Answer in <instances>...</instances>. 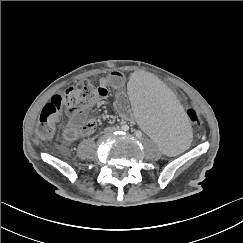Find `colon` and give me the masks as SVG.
<instances>
[{
  "label": "colon",
  "instance_id": "colon-1",
  "mask_svg": "<svg viewBox=\"0 0 243 243\" xmlns=\"http://www.w3.org/2000/svg\"><path fill=\"white\" fill-rule=\"evenodd\" d=\"M95 86L87 80L78 82L76 85L58 93L43 107L36 127V134L40 139H50L55 132V124L59 113L66 109L68 111L81 108L97 98ZM185 112L193 127L202 124L200 112L191 106L185 107Z\"/></svg>",
  "mask_w": 243,
  "mask_h": 243
}]
</instances>
